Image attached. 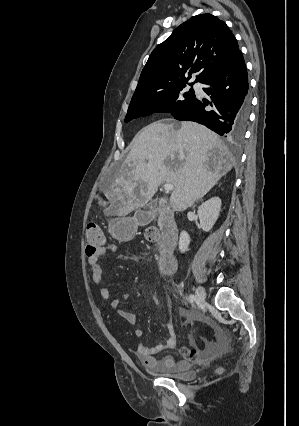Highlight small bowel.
I'll return each instance as SVG.
<instances>
[{
	"label": "small bowel",
	"instance_id": "1",
	"mask_svg": "<svg viewBox=\"0 0 299 426\" xmlns=\"http://www.w3.org/2000/svg\"><path fill=\"white\" fill-rule=\"evenodd\" d=\"M118 251V247L115 243L104 244L98 251L92 256L88 257V264L91 271L92 281L101 285L100 295L103 299L109 300L110 305L114 308L119 316H121L129 325L136 324V315L133 312L120 309V305L124 300H127L130 296L129 293H124L120 298L111 299L109 289L104 285L105 276L103 268L99 263V259L102 256L115 254ZM182 315L191 317L186 311H182ZM169 338L163 344H158L153 347H149L143 344L137 346L135 354L147 368H176L181 370L189 369L192 364L200 363L208 359L216 350L217 342L207 341L203 347H199L195 341H191L190 347L180 348L181 359H175L172 356H165L163 358H157L156 354L164 349L174 348L177 343L176 333L172 324L167 325ZM134 335L140 338L144 335L142 328H136Z\"/></svg>",
	"mask_w": 299,
	"mask_h": 426
}]
</instances>
